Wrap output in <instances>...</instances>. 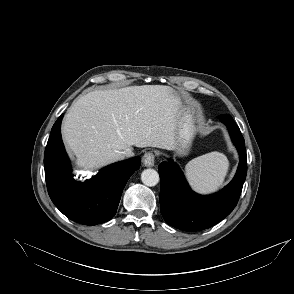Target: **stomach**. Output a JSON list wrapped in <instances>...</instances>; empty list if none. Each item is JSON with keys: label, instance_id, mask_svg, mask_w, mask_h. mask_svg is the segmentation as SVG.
I'll return each instance as SVG.
<instances>
[{"label": "stomach", "instance_id": "obj_1", "mask_svg": "<svg viewBox=\"0 0 294 294\" xmlns=\"http://www.w3.org/2000/svg\"><path fill=\"white\" fill-rule=\"evenodd\" d=\"M195 111L191 107L180 105L175 125V147L178 155H185L197 132Z\"/></svg>", "mask_w": 294, "mask_h": 294}]
</instances>
